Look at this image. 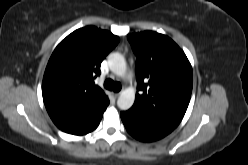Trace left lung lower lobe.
I'll return each mask as SVG.
<instances>
[{
  "label": "left lung lower lobe",
  "instance_id": "obj_1",
  "mask_svg": "<svg viewBox=\"0 0 248 165\" xmlns=\"http://www.w3.org/2000/svg\"><path fill=\"white\" fill-rule=\"evenodd\" d=\"M120 116L127 132L144 142L161 139L176 128L162 121L145 117L133 110L121 112Z\"/></svg>",
  "mask_w": 248,
  "mask_h": 165
}]
</instances>
